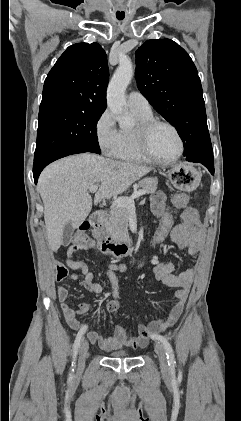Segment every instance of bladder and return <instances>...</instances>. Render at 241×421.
<instances>
[{"label":"bladder","instance_id":"obj_1","mask_svg":"<svg viewBox=\"0 0 241 421\" xmlns=\"http://www.w3.org/2000/svg\"><path fill=\"white\" fill-rule=\"evenodd\" d=\"M109 356L113 358H126L129 357L130 354L127 351H115L110 353Z\"/></svg>","mask_w":241,"mask_h":421}]
</instances>
